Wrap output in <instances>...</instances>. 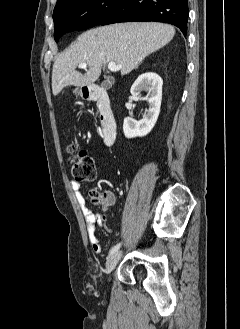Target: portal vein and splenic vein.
<instances>
[{"mask_svg": "<svg viewBox=\"0 0 240 329\" xmlns=\"http://www.w3.org/2000/svg\"><path fill=\"white\" fill-rule=\"evenodd\" d=\"M87 67L86 63H81L78 65L79 69H85ZM122 68L121 64H116L115 62H109L108 63V69L112 72H117Z\"/></svg>", "mask_w": 240, "mask_h": 329, "instance_id": "18ae733b", "label": "portal vein and splenic vein"}]
</instances>
